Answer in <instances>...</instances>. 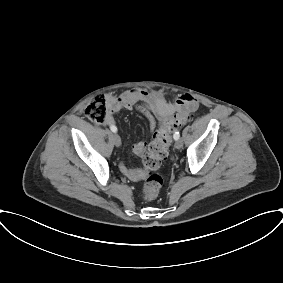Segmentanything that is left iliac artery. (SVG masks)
<instances>
[{
	"mask_svg": "<svg viewBox=\"0 0 283 283\" xmlns=\"http://www.w3.org/2000/svg\"><path fill=\"white\" fill-rule=\"evenodd\" d=\"M173 138H174L175 140H178V139L180 138V133H179V131H176V132L174 133Z\"/></svg>",
	"mask_w": 283,
	"mask_h": 283,
	"instance_id": "1",
	"label": "left iliac artery"
}]
</instances>
